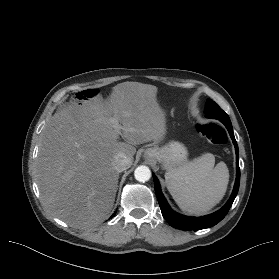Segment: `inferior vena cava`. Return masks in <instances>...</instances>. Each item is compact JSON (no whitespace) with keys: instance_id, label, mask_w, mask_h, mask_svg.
Masks as SVG:
<instances>
[{"instance_id":"inferior-vena-cava-1","label":"inferior vena cava","mask_w":279,"mask_h":279,"mask_svg":"<svg viewBox=\"0 0 279 279\" xmlns=\"http://www.w3.org/2000/svg\"><path fill=\"white\" fill-rule=\"evenodd\" d=\"M132 164L130 157L125 155L124 153H118L115 155L113 160L114 169L118 172H122L128 169Z\"/></svg>"}]
</instances>
